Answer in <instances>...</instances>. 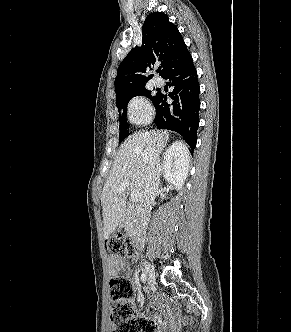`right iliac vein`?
Segmentation results:
<instances>
[{
    "label": "right iliac vein",
    "mask_w": 291,
    "mask_h": 332,
    "mask_svg": "<svg viewBox=\"0 0 291 332\" xmlns=\"http://www.w3.org/2000/svg\"><path fill=\"white\" fill-rule=\"evenodd\" d=\"M143 265H144V274L146 275L149 284L153 285L155 283V278H156L154 268L148 261H144Z\"/></svg>",
    "instance_id": "obj_1"
}]
</instances>
